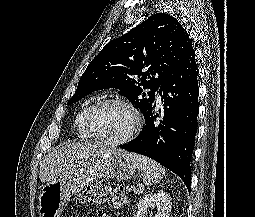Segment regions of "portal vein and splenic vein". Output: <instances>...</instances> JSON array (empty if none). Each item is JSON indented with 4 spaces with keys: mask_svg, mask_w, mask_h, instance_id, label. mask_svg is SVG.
<instances>
[{
    "mask_svg": "<svg viewBox=\"0 0 255 217\" xmlns=\"http://www.w3.org/2000/svg\"><path fill=\"white\" fill-rule=\"evenodd\" d=\"M126 189H127L128 192H131V190L133 189V187H132V186H127Z\"/></svg>",
    "mask_w": 255,
    "mask_h": 217,
    "instance_id": "portal-vein-and-splenic-vein-1",
    "label": "portal vein and splenic vein"
}]
</instances>
